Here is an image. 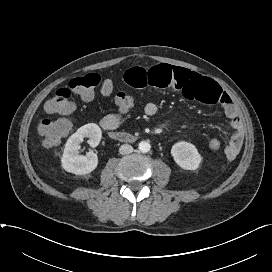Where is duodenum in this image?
<instances>
[{"label":"duodenum","mask_w":272,"mask_h":272,"mask_svg":"<svg viewBox=\"0 0 272 272\" xmlns=\"http://www.w3.org/2000/svg\"><path fill=\"white\" fill-rule=\"evenodd\" d=\"M109 136L113 140H117V141L125 142V143H131L136 140L135 136L126 132L111 131L109 133Z\"/></svg>","instance_id":"1"}]
</instances>
